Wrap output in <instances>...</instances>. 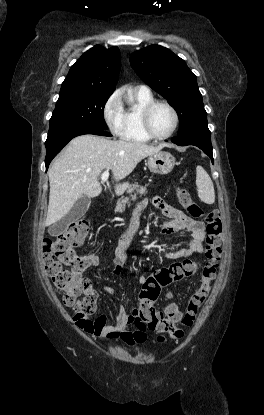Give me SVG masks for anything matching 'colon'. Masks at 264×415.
I'll use <instances>...</instances> for the list:
<instances>
[{"label": "colon", "instance_id": "1", "mask_svg": "<svg viewBox=\"0 0 264 415\" xmlns=\"http://www.w3.org/2000/svg\"><path fill=\"white\" fill-rule=\"evenodd\" d=\"M176 196L191 217L203 218L205 222V264L202 268L201 283L190 297L184 312L175 303H169L163 311H159L155 307V302L160 290L172 282L192 276L198 263L188 259L158 270L143 285L134 322L140 332L153 331L180 339L184 335L181 326L189 328L194 324L216 276L222 252V222L217 210L204 211L185 188L177 187ZM89 232V222L78 219L64 232L59 233L54 241L46 236L42 243L44 268L54 288L63 294V303L73 310L74 320L85 329H92L94 326V321L88 316L94 312L98 300L97 291L83 276L84 270L94 263V257L77 252L83 246ZM135 339L142 338L137 335Z\"/></svg>", "mask_w": 264, "mask_h": 415}]
</instances>
